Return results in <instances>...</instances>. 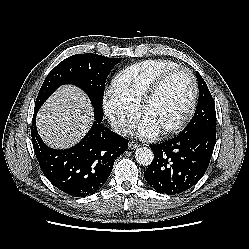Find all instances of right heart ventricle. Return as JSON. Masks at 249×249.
Masks as SVG:
<instances>
[{
    "mask_svg": "<svg viewBox=\"0 0 249 249\" xmlns=\"http://www.w3.org/2000/svg\"><path fill=\"white\" fill-rule=\"evenodd\" d=\"M177 65L176 62L166 59H149L135 63L114 76L111 91L121 101L138 110L142 97L154 80Z\"/></svg>",
    "mask_w": 249,
    "mask_h": 249,
    "instance_id": "obj_1",
    "label": "right heart ventricle"
}]
</instances>
